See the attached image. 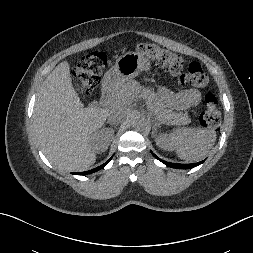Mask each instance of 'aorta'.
Wrapping results in <instances>:
<instances>
[{
    "instance_id": "1",
    "label": "aorta",
    "mask_w": 253,
    "mask_h": 253,
    "mask_svg": "<svg viewBox=\"0 0 253 253\" xmlns=\"http://www.w3.org/2000/svg\"><path fill=\"white\" fill-rule=\"evenodd\" d=\"M133 124L136 127H143L146 124V119L140 113L134 114Z\"/></svg>"
}]
</instances>
